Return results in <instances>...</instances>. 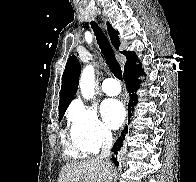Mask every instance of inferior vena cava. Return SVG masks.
<instances>
[{"label": "inferior vena cava", "mask_w": 196, "mask_h": 182, "mask_svg": "<svg viewBox=\"0 0 196 182\" xmlns=\"http://www.w3.org/2000/svg\"><path fill=\"white\" fill-rule=\"evenodd\" d=\"M101 141H102L101 153L96 157L99 160L107 159L110 156L112 142H113L111 132L104 131L102 134Z\"/></svg>", "instance_id": "1"}]
</instances>
